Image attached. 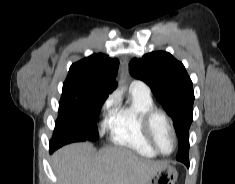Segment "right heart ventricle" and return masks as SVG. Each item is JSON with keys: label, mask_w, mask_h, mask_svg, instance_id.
Here are the masks:
<instances>
[{"label": "right heart ventricle", "mask_w": 235, "mask_h": 184, "mask_svg": "<svg viewBox=\"0 0 235 184\" xmlns=\"http://www.w3.org/2000/svg\"><path fill=\"white\" fill-rule=\"evenodd\" d=\"M152 108H154V103L151 97H143L135 93H133L132 104L117 107L110 127L108 147L110 158L123 159L128 154L148 158L157 156L142 127L144 114Z\"/></svg>", "instance_id": "obj_1"}]
</instances>
